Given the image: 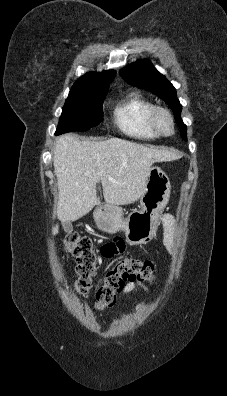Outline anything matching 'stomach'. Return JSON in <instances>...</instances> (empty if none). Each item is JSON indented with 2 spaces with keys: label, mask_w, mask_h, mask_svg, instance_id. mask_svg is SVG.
Wrapping results in <instances>:
<instances>
[{
  "label": "stomach",
  "mask_w": 227,
  "mask_h": 396,
  "mask_svg": "<svg viewBox=\"0 0 227 396\" xmlns=\"http://www.w3.org/2000/svg\"><path fill=\"white\" fill-rule=\"evenodd\" d=\"M170 192V180L166 173L158 166H151L140 197V210L124 218L121 207L101 204L94 210V221L100 230L109 234L123 230L130 244H146L156 234L159 216L169 200Z\"/></svg>",
  "instance_id": "stomach-1"
}]
</instances>
